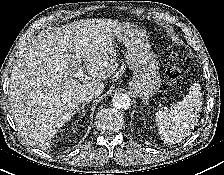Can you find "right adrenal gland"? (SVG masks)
I'll list each match as a JSON object with an SVG mask.
<instances>
[{"label": "right adrenal gland", "instance_id": "1", "mask_svg": "<svg viewBox=\"0 0 224 175\" xmlns=\"http://www.w3.org/2000/svg\"><path fill=\"white\" fill-rule=\"evenodd\" d=\"M88 103H89V102H88ZM88 103H84V104H82V105L79 107L78 112L80 111V113H82L81 116H84V115H85V109H84V107H85V105L88 104Z\"/></svg>", "mask_w": 224, "mask_h": 175}]
</instances>
